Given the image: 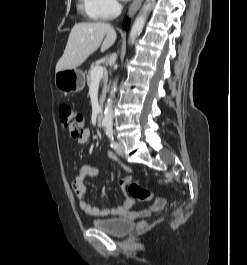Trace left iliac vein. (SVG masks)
I'll return each mask as SVG.
<instances>
[{"mask_svg": "<svg viewBox=\"0 0 247 265\" xmlns=\"http://www.w3.org/2000/svg\"><path fill=\"white\" fill-rule=\"evenodd\" d=\"M116 152L118 155L123 156L124 155V145L122 142L118 143V147L116 148Z\"/></svg>", "mask_w": 247, "mask_h": 265, "instance_id": "obj_1", "label": "left iliac vein"}]
</instances>
